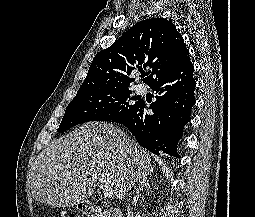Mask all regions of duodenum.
I'll return each mask as SVG.
<instances>
[{
	"instance_id": "duodenum-1",
	"label": "duodenum",
	"mask_w": 255,
	"mask_h": 217,
	"mask_svg": "<svg viewBox=\"0 0 255 217\" xmlns=\"http://www.w3.org/2000/svg\"><path fill=\"white\" fill-rule=\"evenodd\" d=\"M80 211L83 212L86 217H123L119 209H111L107 213H103L92 204L83 203L80 205Z\"/></svg>"
}]
</instances>
